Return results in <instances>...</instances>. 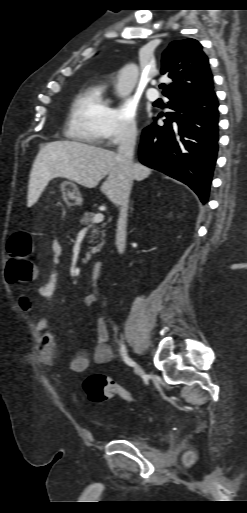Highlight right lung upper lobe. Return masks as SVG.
I'll list each match as a JSON object with an SVG mask.
<instances>
[{"label":"right lung upper lobe","mask_w":247,"mask_h":513,"mask_svg":"<svg viewBox=\"0 0 247 513\" xmlns=\"http://www.w3.org/2000/svg\"><path fill=\"white\" fill-rule=\"evenodd\" d=\"M161 73L173 79L163 91L166 97L196 95L214 88L208 58L195 39L173 41L163 53Z\"/></svg>","instance_id":"cb5924a9"}]
</instances>
